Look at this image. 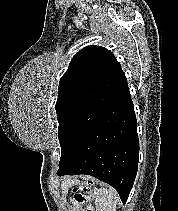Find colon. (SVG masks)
I'll return each mask as SVG.
<instances>
[{
	"instance_id": "1",
	"label": "colon",
	"mask_w": 178,
	"mask_h": 211,
	"mask_svg": "<svg viewBox=\"0 0 178 211\" xmlns=\"http://www.w3.org/2000/svg\"><path fill=\"white\" fill-rule=\"evenodd\" d=\"M95 197V185L93 181L78 184L72 189V201L74 204L85 205V211H94L90 205Z\"/></svg>"
}]
</instances>
